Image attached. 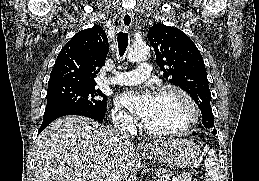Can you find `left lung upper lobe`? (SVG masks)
Wrapping results in <instances>:
<instances>
[{"label": "left lung upper lobe", "instance_id": "left-lung-upper-lobe-1", "mask_svg": "<svg viewBox=\"0 0 259 181\" xmlns=\"http://www.w3.org/2000/svg\"><path fill=\"white\" fill-rule=\"evenodd\" d=\"M147 38L163 76L190 94L201 110L204 127L216 133L206 69L194 42L181 30L161 23L149 29Z\"/></svg>", "mask_w": 259, "mask_h": 181}]
</instances>
